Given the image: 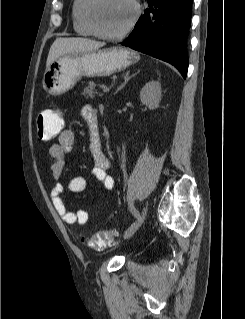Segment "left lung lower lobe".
I'll return each instance as SVG.
<instances>
[{
    "label": "left lung lower lobe",
    "mask_w": 245,
    "mask_h": 319,
    "mask_svg": "<svg viewBox=\"0 0 245 319\" xmlns=\"http://www.w3.org/2000/svg\"><path fill=\"white\" fill-rule=\"evenodd\" d=\"M149 9L122 45L174 65L185 78L193 0H147Z\"/></svg>",
    "instance_id": "left-lung-lower-lobe-1"
}]
</instances>
